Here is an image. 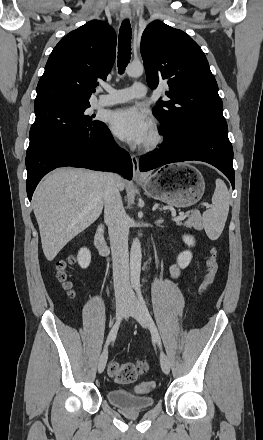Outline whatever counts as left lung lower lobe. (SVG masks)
Segmentation results:
<instances>
[{"label":"left lung lower lobe","instance_id":"left-lung-lower-lobe-1","mask_svg":"<svg viewBox=\"0 0 263 440\" xmlns=\"http://www.w3.org/2000/svg\"><path fill=\"white\" fill-rule=\"evenodd\" d=\"M162 133L165 142L158 150L140 157V171H149L173 162L203 161L223 172L234 189L233 148L228 138L226 122L201 127L196 131V137L184 145H181L177 132L163 128Z\"/></svg>","mask_w":263,"mask_h":440}]
</instances>
